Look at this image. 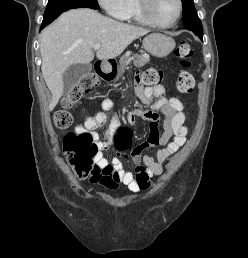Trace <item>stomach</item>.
Instances as JSON below:
<instances>
[{
	"mask_svg": "<svg viewBox=\"0 0 248 258\" xmlns=\"http://www.w3.org/2000/svg\"><path fill=\"white\" fill-rule=\"evenodd\" d=\"M175 46L176 43L173 38L160 33L150 34L143 40V48L148 53L158 58H163L169 55ZM102 70L107 73L111 70V66L106 63L103 65Z\"/></svg>",
	"mask_w": 248,
	"mask_h": 258,
	"instance_id": "obj_1",
	"label": "stomach"
}]
</instances>
